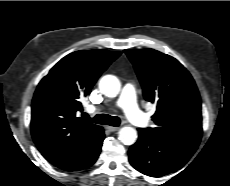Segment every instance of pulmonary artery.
<instances>
[{"instance_id": "pulmonary-artery-1", "label": "pulmonary artery", "mask_w": 230, "mask_h": 186, "mask_svg": "<svg viewBox=\"0 0 230 186\" xmlns=\"http://www.w3.org/2000/svg\"><path fill=\"white\" fill-rule=\"evenodd\" d=\"M117 104L123 108L126 116L135 126L145 127L148 124L147 116L137 107L136 92L133 85L126 84L123 87Z\"/></svg>"}]
</instances>
